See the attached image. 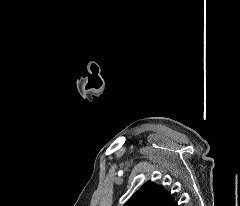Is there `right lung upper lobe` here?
<instances>
[{
    "label": "right lung upper lobe",
    "mask_w": 240,
    "mask_h": 206,
    "mask_svg": "<svg viewBox=\"0 0 240 206\" xmlns=\"http://www.w3.org/2000/svg\"><path fill=\"white\" fill-rule=\"evenodd\" d=\"M124 206H177V204L162 186L147 182Z\"/></svg>",
    "instance_id": "cb5924a9"
}]
</instances>
